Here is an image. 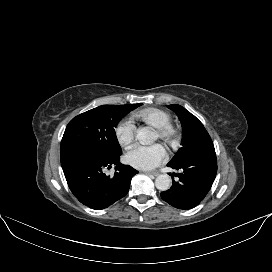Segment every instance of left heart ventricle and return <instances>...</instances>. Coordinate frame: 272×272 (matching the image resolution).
<instances>
[{
	"label": "left heart ventricle",
	"mask_w": 272,
	"mask_h": 272,
	"mask_svg": "<svg viewBox=\"0 0 272 272\" xmlns=\"http://www.w3.org/2000/svg\"><path fill=\"white\" fill-rule=\"evenodd\" d=\"M156 138H158V135H157V133H156Z\"/></svg>",
	"instance_id": "left-heart-ventricle-1"
}]
</instances>
